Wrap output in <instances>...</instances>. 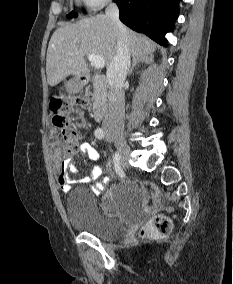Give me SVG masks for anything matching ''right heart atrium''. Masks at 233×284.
Masks as SVG:
<instances>
[{"label":"right heart atrium","mask_w":233,"mask_h":284,"mask_svg":"<svg viewBox=\"0 0 233 284\" xmlns=\"http://www.w3.org/2000/svg\"><path fill=\"white\" fill-rule=\"evenodd\" d=\"M110 1L111 0H83L85 5L92 10H98Z\"/></svg>","instance_id":"obj_1"}]
</instances>
